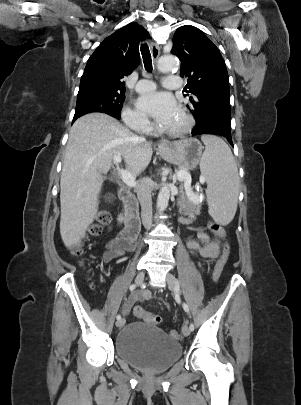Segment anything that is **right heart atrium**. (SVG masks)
Masks as SVG:
<instances>
[{"mask_svg": "<svg viewBox=\"0 0 301 405\" xmlns=\"http://www.w3.org/2000/svg\"><path fill=\"white\" fill-rule=\"evenodd\" d=\"M122 118L124 123L134 131L148 132L151 129L150 121L145 116L129 107L123 110Z\"/></svg>", "mask_w": 301, "mask_h": 405, "instance_id": "right-heart-atrium-1", "label": "right heart atrium"}]
</instances>
